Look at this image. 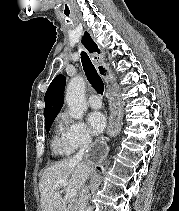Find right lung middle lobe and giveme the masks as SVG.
<instances>
[{"label":"right lung middle lobe","mask_w":179,"mask_h":211,"mask_svg":"<svg viewBox=\"0 0 179 211\" xmlns=\"http://www.w3.org/2000/svg\"><path fill=\"white\" fill-rule=\"evenodd\" d=\"M55 117L49 118L45 120L46 131L49 132L52 122L54 121Z\"/></svg>","instance_id":"obj_1"}]
</instances>
